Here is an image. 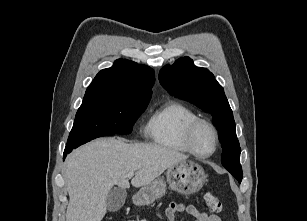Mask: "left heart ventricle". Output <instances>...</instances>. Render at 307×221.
Segmentation results:
<instances>
[{
	"label": "left heart ventricle",
	"mask_w": 307,
	"mask_h": 221,
	"mask_svg": "<svg viewBox=\"0 0 307 221\" xmlns=\"http://www.w3.org/2000/svg\"><path fill=\"white\" fill-rule=\"evenodd\" d=\"M193 143L198 152L202 154L210 153L214 147V138L211 131L205 126H200L193 136Z\"/></svg>",
	"instance_id": "b2bd125f"
}]
</instances>
